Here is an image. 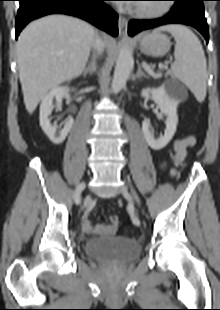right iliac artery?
Masks as SVG:
<instances>
[{
  "label": "right iliac artery",
  "instance_id": "right-iliac-artery-1",
  "mask_svg": "<svg viewBox=\"0 0 220 310\" xmlns=\"http://www.w3.org/2000/svg\"><path fill=\"white\" fill-rule=\"evenodd\" d=\"M84 188H85V183H80L77 186L75 190V195H74V200L76 204H79L81 202L80 195H81V192L84 190Z\"/></svg>",
  "mask_w": 220,
  "mask_h": 310
}]
</instances>
